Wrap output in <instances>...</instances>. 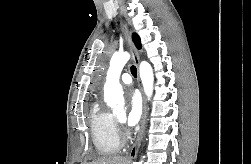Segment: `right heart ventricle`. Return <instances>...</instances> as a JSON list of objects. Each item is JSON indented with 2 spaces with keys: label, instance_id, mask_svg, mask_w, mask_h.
<instances>
[{
  "label": "right heart ventricle",
  "instance_id": "1",
  "mask_svg": "<svg viewBox=\"0 0 251 164\" xmlns=\"http://www.w3.org/2000/svg\"><path fill=\"white\" fill-rule=\"evenodd\" d=\"M90 128L96 152L109 156L118 152L120 138L115 117L95 102L90 111Z\"/></svg>",
  "mask_w": 251,
  "mask_h": 164
}]
</instances>
